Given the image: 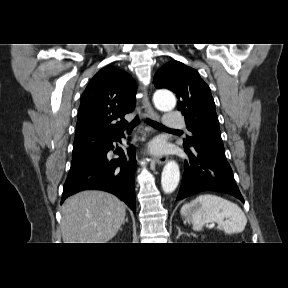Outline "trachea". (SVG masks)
I'll return each mask as SVG.
<instances>
[{
	"label": "trachea",
	"mask_w": 288,
	"mask_h": 288,
	"mask_svg": "<svg viewBox=\"0 0 288 288\" xmlns=\"http://www.w3.org/2000/svg\"><path fill=\"white\" fill-rule=\"evenodd\" d=\"M140 122L139 118L136 117L128 126V129H132L134 126H136L138 123ZM147 123L151 126H153L154 128H157V129H160V130H170V131H178V130H173V129H168L166 128L164 125H162L161 123L159 122H156V121H153V120H150L148 119L147 120Z\"/></svg>",
	"instance_id": "3493384b"
}]
</instances>
